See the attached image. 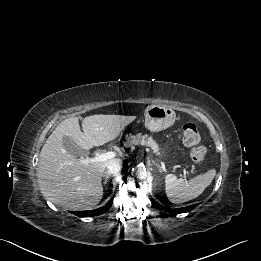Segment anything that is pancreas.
<instances>
[{
  "label": "pancreas",
  "mask_w": 261,
  "mask_h": 261,
  "mask_svg": "<svg viewBox=\"0 0 261 261\" xmlns=\"http://www.w3.org/2000/svg\"><path fill=\"white\" fill-rule=\"evenodd\" d=\"M143 145V146H148L151 147L154 153L160 154L159 152V146L158 144L151 138L148 137L147 135H129L127 137V141L124 143L126 147H130L132 145Z\"/></svg>",
  "instance_id": "pancreas-1"
}]
</instances>
